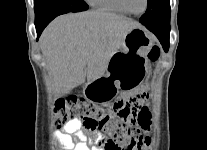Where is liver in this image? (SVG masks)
<instances>
[{"label": "liver", "instance_id": "obj_1", "mask_svg": "<svg viewBox=\"0 0 207 150\" xmlns=\"http://www.w3.org/2000/svg\"><path fill=\"white\" fill-rule=\"evenodd\" d=\"M141 25L124 16L103 11L61 15L40 38L57 93H69L84 83L104 76L111 57L126 34Z\"/></svg>", "mask_w": 207, "mask_h": 150}]
</instances>
